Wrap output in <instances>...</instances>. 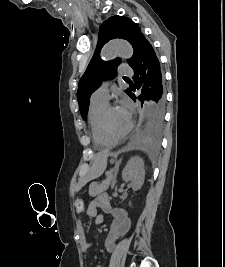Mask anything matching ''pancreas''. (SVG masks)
Wrapping results in <instances>:
<instances>
[{
  "label": "pancreas",
  "mask_w": 225,
  "mask_h": 267,
  "mask_svg": "<svg viewBox=\"0 0 225 267\" xmlns=\"http://www.w3.org/2000/svg\"><path fill=\"white\" fill-rule=\"evenodd\" d=\"M114 182L115 179L111 171L110 174L107 176V178L103 180L100 184H91L89 186V196L95 197L107 191L110 185L113 186Z\"/></svg>",
  "instance_id": "cf45deb5"
}]
</instances>
